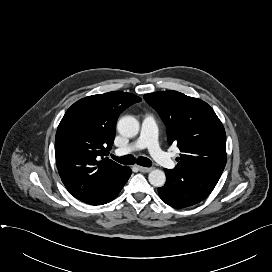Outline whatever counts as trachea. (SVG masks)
Returning <instances> with one entry per match:
<instances>
[{"mask_svg":"<svg viewBox=\"0 0 272 272\" xmlns=\"http://www.w3.org/2000/svg\"><path fill=\"white\" fill-rule=\"evenodd\" d=\"M112 158L124 165H133L135 163H137L140 166H144V167H150L152 162L150 159L146 158V157H138L137 159L133 156V155H125L122 157H117L115 155H112Z\"/></svg>","mask_w":272,"mask_h":272,"instance_id":"trachea-1","label":"trachea"}]
</instances>
